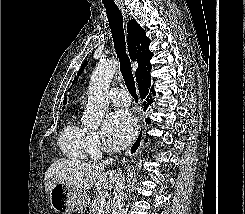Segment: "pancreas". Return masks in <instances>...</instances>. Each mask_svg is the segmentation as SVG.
<instances>
[{"instance_id": "obj_1", "label": "pancreas", "mask_w": 245, "mask_h": 214, "mask_svg": "<svg viewBox=\"0 0 245 214\" xmlns=\"http://www.w3.org/2000/svg\"><path fill=\"white\" fill-rule=\"evenodd\" d=\"M103 197L102 194H97L96 196L93 197L91 203H90V206H89V209H90V212L91 214H95L96 210H97V207L99 205V200L100 198ZM111 210H110V205H106L102 211V214H110Z\"/></svg>"}]
</instances>
